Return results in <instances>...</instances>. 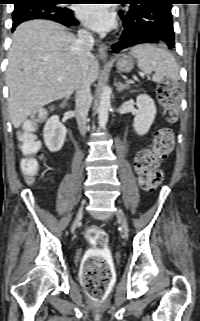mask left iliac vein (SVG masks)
I'll return each mask as SVG.
<instances>
[{
	"instance_id": "4c4485c4",
	"label": "left iliac vein",
	"mask_w": 200,
	"mask_h": 321,
	"mask_svg": "<svg viewBox=\"0 0 200 321\" xmlns=\"http://www.w3.org/2000/svg\"><path fill=\"white\" fill-rule=\"evenodd\" d=\"M116 216H117V219L120 222L123 230L126 231L128 229L127 218H126L124 212L120 208L117 209Z\"/></svg>"
}]
</instances>
